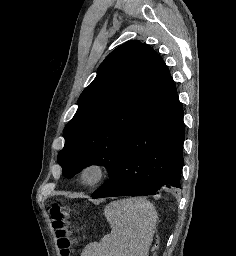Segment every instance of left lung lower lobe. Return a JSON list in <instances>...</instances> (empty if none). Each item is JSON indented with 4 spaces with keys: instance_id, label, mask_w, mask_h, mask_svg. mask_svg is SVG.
<instances>
[{
    "instance_id": "0a47b994",
    "label": "left lung lower lobe",
    "mask_w": 236,
    "mask_h": 256,
    "mask_svg": "<svg viewBox=\"0 0 236 256\" xmlns=\"http://www.w3.org/2000/svg\"><path fill=\"white\" fill-rule=\"evenodd\" d=\"M184 138L176 92L139 122L110 178L92 197L155 195L161 187L181 188Z\"/></svg>"
}]
</instances>
